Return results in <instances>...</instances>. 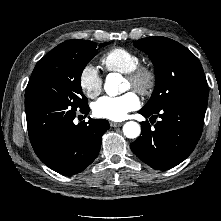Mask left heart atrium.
Masks as SVG:
<instances>
[{"mask_svg":"<svg viewBox=\"0 0 221 221\" xmlns=\"http://www.w3.org/2000/svg\"><path fill=\"white\" fill-rule=\"evenodd\" d=\"M140 106L136 93L127 92L121 96H103L93 104L95 116L112 121H120L128 113Z\"/></svg>","mask_w":221,"mask_h":221,"instance_id":"39dd6f15","label":"left heart atrium"}]
</instances>
